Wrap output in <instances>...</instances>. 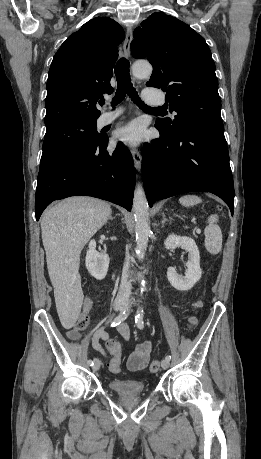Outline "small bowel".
Returning a JSON list of instances; mask_svg holds the SVG:
<instances>
[{"label":"small bowel","mask_w":261,"mask_h":459,"mask_svg":"<svg viewBox=\"0 0 261 459\" xmlns=\"http://www.w3.org/2000/svg\"><path fill=\"white\" fill-rule=\"evenodd\" d=\"M93 307V298L91 295H87L83 301L82 305V314L88 315ZM118 332L121 334L123 338L126 340L130 339V329L126 323H120L117 326ZM69 337L73 340H78L80 338V334L76 329H73L69 332ZM109 338V334L106 330V326L100 327L92 335V347L94 350L99 352L101 355L107 357L105 350L103 349L100 341L107 340ZM151 343L149 341H144L141 343H137L134 345L133 351L130 354L127 366L129 370L134 372L142 371L146 368L150 353H151ZM112 359H110L111 361ZM109 361V362H110Z\"/></svg>","instance_id":"small-bowel-1"}]
</instances>
